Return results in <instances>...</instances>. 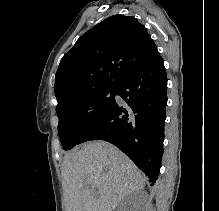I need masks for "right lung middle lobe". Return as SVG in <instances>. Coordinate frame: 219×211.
I'll use <instances>...</instances> for the list:
<instances>
[{
    "label": "right lung middle lobe",
    "mask_w": 219,
    "mask_h": 211,
    "mask_svg": "<svg viewBox=\"0 0 219 211\" xmlns=\"http://www.w3.org/2000/svg\"><path fill=\"white\" fill-rule=\"evenodd\" d=\"M115 101V87H102L59 103L58 132L66 150L78 144L83 133L105 115Z\"/></svg>",
    "instance_id": "obj_1"
}]
</instances>
